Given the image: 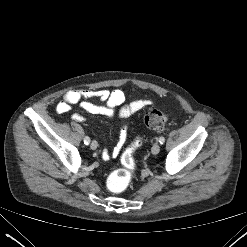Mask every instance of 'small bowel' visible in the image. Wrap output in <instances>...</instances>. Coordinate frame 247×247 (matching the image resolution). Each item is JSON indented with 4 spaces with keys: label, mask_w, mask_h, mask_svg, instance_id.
Wrapping results in <instances>:
<instances>
[{
    "label": "small bowel",
    "mask_w": 247,
    "mask_h": 247,
    "mask_svg": "<svg viewBox=\"0 0 247 247\" xmlns=\"http://www.w3.org/2000/svg\"><path fill=\"white\" fill-rule=\"evenodd\" d=\"M93 98H98L101 103H93L91 101ZM149 103L150 101L147 99H137L127 103L125 94L121 89L71 90L68 91L64 95L62 101L57 104L56 111L58 113H66L71 110L72 105L78 104L86 112L93 115H102L106 117H113L117 115L121 119H127L147 106ZM72 119L77 122L85 121V117L78 113L73 114ZM126 138V126L122 125L117 145L111 152L104 149L102 151V158L104 160H109L117 157L121 147L126 141Z\"/></svg>",
    "instance_id": "obj_1"
}]
</instances>
